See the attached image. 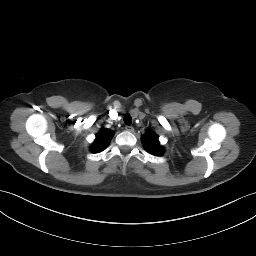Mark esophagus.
Returning <instances> with one entry per match:
<instances>
[{
    "label": "esophagus",
    "mask_w": 256,
    "mask_h": 256,
    "mask_svg": "<svg viewBox=\"0 0 256 256\" xmlns=\"http://www.w3.org/2000/svg\"><path fill=\"white\" fill-rule=\"evenodd\" d=\"M125 129L128 132H133L134 131V128L132 126H126Z\"/></svg>",
    "instance_id": "1"
}]
</instances>
